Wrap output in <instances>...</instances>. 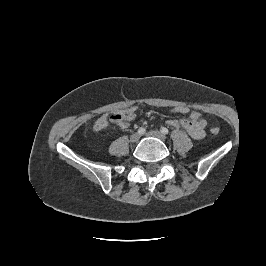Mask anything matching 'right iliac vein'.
I'll list each match as a JSON object with an SVG mask.
<instances>
[{
    "label": "right iliac vein",
    "mask_w": 266,
    "mask_h": 266,
    "mask_svg": "<svg viewBox=\"0 0 266 266\" xmlns=\"http://www.w3.org/2000/svg\"><path fill=\"white\" fill-rule=\"evenodd\" d=\"M140 138V135L138 133H134L130 136V142L136 143Z\"/></svg>",
    "instance_id": "obj_1"
}]
</instances>
